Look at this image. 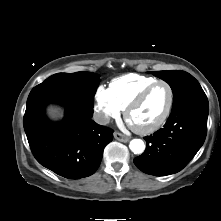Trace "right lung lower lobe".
I'll list each match as a JSON object with an SVG mask.
<instances>
[{
    "mask_svg": "<svg viewBox=\"0 0 221 221\" xmlns=\"http://www.w3.org/2000/svg\"><path fill=\"white\" fill-rule=\"evenodd\" d=\"M51 102L64 106L65 118L60 123H52L45 116V106ZM92 114L56 100L28 105L24 130L36 160L68 179L95 173L105 146L113 139V131L95 123Z\"/></svg>",
    "mask_w": 221,
    "mask_h": 221,
    "instance_id": "98d812e1",
    "label": "right lung lower lobe"
}]
</instances>
